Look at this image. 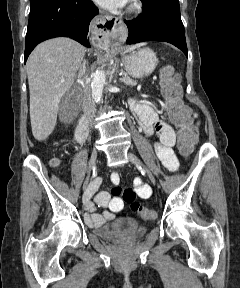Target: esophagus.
I'll return each instance as SVG.
<instances>
[{"instance_id":"obj_1","label":"esophagus","mask_w":240,"mask_h":288,"mask_svg":"<svg viewBox=\"0 0 240 288\" xmlns=\"http://www.w3.org/2000/svg\"><path fill=\"white\" fill-rule=\"evenodd\" d=\"M121 20L108 14H100L94 21L95 39L99 46L108 47L111 44V37H114Z\"/></svg>"}]
</instances>
